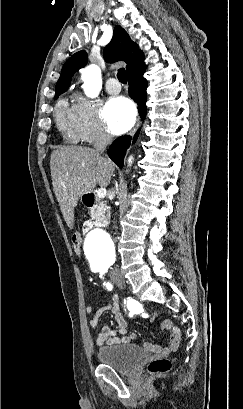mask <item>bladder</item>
I'll list each match as a JSON object with an SVG mask.
<instances>
[{
	"mask_svg": "<svg viewBox=\"0 0 243 409\" xmlns=\"http://www.w3.org/2000/svg\"><path fill=\"white\" fill-rule=\"evenodd\" d=\"M147 356V351L135 344L107 345L98 349L97 358L103 365L118 372L131 370L138 362Z\"/></svg>",
	"mask_w": 243,
	"mask_h": 409,
	"instance_id": "1",
	"label": "bladder"
}]
</instances>
